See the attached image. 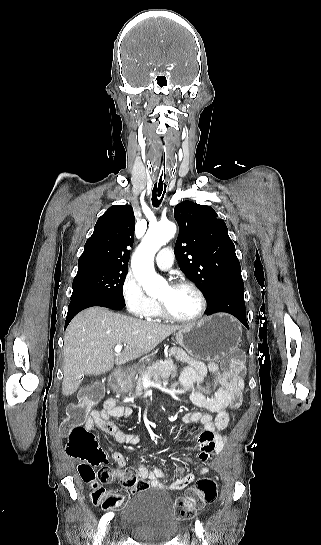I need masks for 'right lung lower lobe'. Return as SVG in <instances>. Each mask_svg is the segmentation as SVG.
<instances>
[{
    "label": "right lung lower lobe",
    "instance_id": "98d812e1",
    "mask_svg": "<svg viewBox=\"0 0 321 545\" xmlns=\"http://www.w3.org/2000/svg\"><path fill=\"white\" fill-rule=\"evenodd\" d=\"M92 306H102V307H107L114 310H121L125 306V303H119V302H114L111 300L100 299V298H88V297L78 298L70 302L68 306V313H67V318L65 321V328L68 326L69 322L78 312Z\"/></svg>",
    "mask_w": 321,
    "mask_h": 545
}]
</instances>
